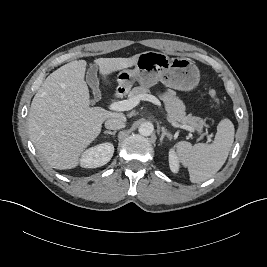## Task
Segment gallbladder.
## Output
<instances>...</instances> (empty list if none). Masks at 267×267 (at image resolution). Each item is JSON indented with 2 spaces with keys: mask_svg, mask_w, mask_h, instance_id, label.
<instances>
[{
  "mask_svg": "<svg viewBox=\"0 0 267 267\" xmlns=\"http://www.w3.org/2000/svg\"><path fill=\"white\" fill-rule=\"evenodd\" d=\"M86 81L94 92L95 100L98 101L101 99V93L99 91V79L97 77V68L95 66H91L88 69Z\"/></svg>",
  "mask_w": 267,
  "mask_h": 267,
  "instance_id": "1",
  "label": "gallbladder"
}]
</instances>
